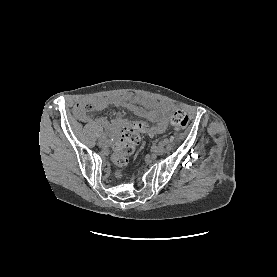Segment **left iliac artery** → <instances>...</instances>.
<instances>
[{
    "label": "left iliac artery",
    "mask_w": 277,
    "mask_h": 277,
    "mask_svg": "<svg viewBox=\"0 0 277 277\" xmlns=\"http://www.w3.org/2000/svg\"><path fill=\"white\" fill-rule=\"evenodd\" d=\"M169 143V140L168 139H163L160 141V145H167Z\"/></svg>",
    "instance_id": "obj_1"
}]
</instances>
